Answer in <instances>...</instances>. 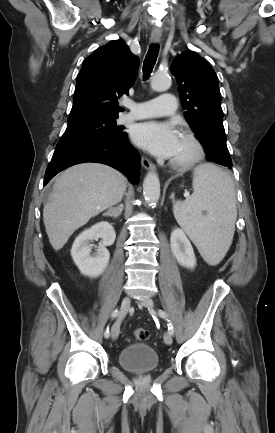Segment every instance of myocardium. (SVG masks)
Returning a JSON list of instances; mask_svg holds the SVG:
<instances>
[{"instance_id":"f54148a6","label":"myocardium","mask_w":275,"mask_h":433,"mask_svg":"<svg viewBox=\"0 0 275 433\" xmlns=\"http://www.w3.org/2000/svg\"><path fill=\"white\" fill-rule=\"evenodd\" d=\"M184 136L193 147V154L184 161L170 160L169 165L180 171H186L196 166L204 156V146L199 137L191 130L185 129L182 131Z\"/></svg>"}]
</instances>
